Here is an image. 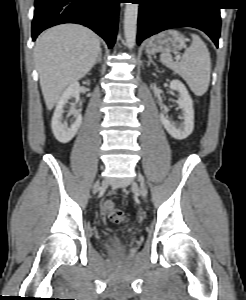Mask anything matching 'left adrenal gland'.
<instances>
[{
	"label": "left adrenal gland",
	"instance_id": "obj_1",
	"mask_svg": "<svg viewBox=\"0 0 246 300\" xmlns=\"http://www.w3.org/2000/svg\"><path fill=\"white\" fill-rule=\"evenodd\" d=\"M148 63H147V66H150L151 64H153L155 67H156V63L152 60V57L150 55H148Z\"/></svg>",
	"mask_w": 246,
	"mask_h": 300
}]
</instances>
